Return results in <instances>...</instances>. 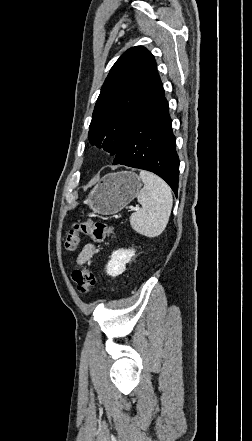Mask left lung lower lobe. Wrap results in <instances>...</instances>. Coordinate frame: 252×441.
Listing matches in <instances>:
<instances>
[{"instance_id":"1","label":"left lung lower lobe","mask_w":252,"mask_h":441,"mask_svg":"<svg viewBox=\"0 0 252 441\" xmlns=\"http://www.w3.org/2000/svg\"><path fill=\"white\" fill-rule=\"evenodd\" d=\"M171 124L168 102L157 73L149 95L132 122L113 164L153 172L164 179L177 195L179 157Z\"/></svg>"}]
</instances>
